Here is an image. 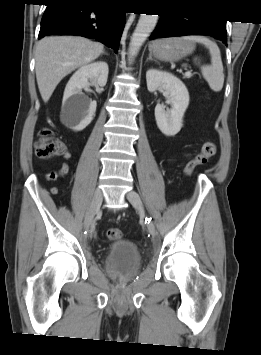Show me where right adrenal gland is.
<instances>
[{"mask_svg": "<svg viewBox=\"0 0 261 355\" xmlns=\"http://www.w3.org/2000/svg\"><path fill=\"white\" fill-rule=\"evenodd\" d=\"M102 54H104V55H108V53H106V52H104V51H103V53H102Z\"/></svg>", "mask_w": 261, "mask_h": 355, "instance_id": "obj_1", "label": "right adrenal gland"}]
</instances>
